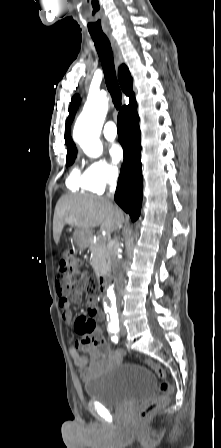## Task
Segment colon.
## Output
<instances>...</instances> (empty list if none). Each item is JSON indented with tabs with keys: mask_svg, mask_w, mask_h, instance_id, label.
Segmentation results:
<instances>
[{
	"mask_svg": "<svg viewBox=\"0 0 221 448\" xmlns=\"http://www.w3.org/2000/svg\"><path fill=\"white\" fill-rule=\"evenodd\" d=\"M79 266V261L75 251L71 248H66L60 257L58 264V273L56 277V281L58 284V288L60 290H64L70 286L71 278L74 274V271L77 270ZM96 291V285L94 281H91L87 288V299L89 302H94V295ZM95 327V323L90 321L85 329L87 331H92ZM144 364L148 366L151 370H153L157 376L161 379L159 384V390L161 395L154 401L143 406L139 411V419L145 421L153 416L160 408L166 405L169 401V397L171 394V386L170 383L166 380V372L165 370L155 363L152 360H145Z\"/></svg>",
	"mask_w": 221,
	"mask_h": 448,
	"instance_id": "5ec220e1",
	"label": "colon"
}]
</instances>
